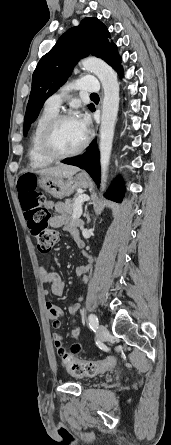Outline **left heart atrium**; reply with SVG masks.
Listing matches in <instances>:
<instances>
[{
    "instance_id": "39dd6f15",
    "label": "left heart atrium",
    "mask_w": 171,
    "mask_h": 445,
    "mask_svg": "<svg viewBox=\"0 0 171 445\" xmlns=\"http://www.w3.org/2000/svg\"><path fill=\"white\" fill-rule=\"evenodd\" d=\"M83 129V131L87 134L89 129V118L86 115H82L77 119Z\"/></svg>"
}]
</instances>
